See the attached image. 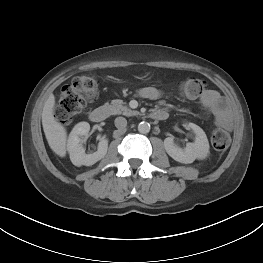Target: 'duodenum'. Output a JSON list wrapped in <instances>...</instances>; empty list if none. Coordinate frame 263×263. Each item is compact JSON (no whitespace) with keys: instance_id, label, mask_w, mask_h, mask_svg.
Segmentation results:
<instances>
[{"instance_id":"duodenum-1","label":"duodenum","mask_w":263,"mask_h":263,"mask_svg":"<svg viewBox=\"0 0 263 263\" xmlns=\"http://www.w3.org/2000/svg\"><path fill=\"white\" fill-rule=\"evenodd\" d=\"M108 115V109L104 106L97 107L90 111L89 118L92 122H103ZM151 117L156 120H165L168 117V113L165 110H156L151 113Z\"/></svg>"}]
</instances>
